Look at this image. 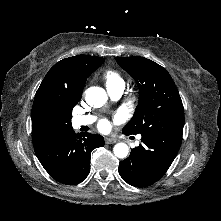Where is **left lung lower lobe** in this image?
<instances>
[{
    "label": "left lung lower lobe",
    "mask_w": 221,
    "mask_h": 221,
    "mask_svg": "<svg viewBox=\"0 0 221 221\" xmlns=\"http://www.w3.org/2000/svg\"><path fill=\"white\" fill-rule=\"evenodd\" d=\"M140 144L119 164V174L128 184L146 187L158 181L175 159L181 143L142 136Z\"/></svg>",
    "instance_id": "obj_1"
}]
</instances>
